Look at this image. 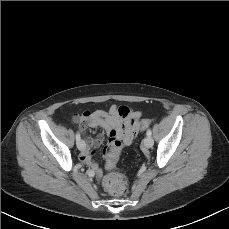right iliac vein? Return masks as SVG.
I'll return each mask as SVG.
<instances>
[{
    "mask_svg": "<svg viewBox=\"0 0 229 229\" xmlns=\"http://www.w3.org/2000/svg\"><path fill=\"white\" fill-rule=\"evenodd\" d=\"M85 146V142L83 140H80L78 143H77V148L79 150H82Z\"/></svg>",
    "mask_w": 229,
    "mask_h": 229,
    "instance_id": "63e3f726",
    "label": "right iliac vein"
}]
</instances>
